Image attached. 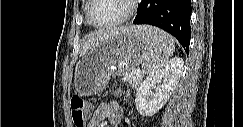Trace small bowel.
<instances>
[{"instance_id": "c3829d8e", "label": "small bowel", "mask_w": 243, "mask_h": 127, "mask_svg": "<svg viewBox=\"0 0 243 127\" xmlns=\"http://www.w3.org/2000/svg\"><path fill=\"white\" fill-rule=\"evenodd\" d=\"M122 117V109L115 102L101 103L91 114L87 127L101 126L104 121H108L110 126H118Z\"/></svg>"}]
</instances>
